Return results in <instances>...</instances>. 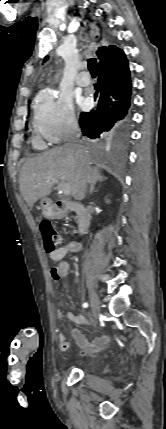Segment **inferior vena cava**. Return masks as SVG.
<instances>
[{"label":"inferior vena cava","mask_w":166,"mask_h":429,"mask_svg":"<svg viewBox=\"0 0 166 429\" xmlns=\"http://www.w3.org/2000/svg\"><path fill=\"white\" fill-rule=\"evenodd\" d=\"M79 128L78 124L74 122L69 128L65 137V147L75 152L77 156L83 157L84 148L79 145Z\"/></svg>","instance_id":"inferior-vena-cava-1"}]
</instances>
